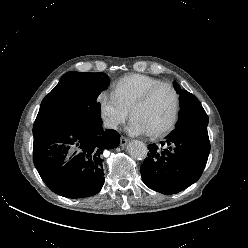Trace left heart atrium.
I'll use <instances>...</instances> for the list:
<instances>
[{
  "label": "left heart atrium",
  "mask_w": 248,
  "mask_h": 248,
  "mask_svg": "<svg viewBox=\"0 0 248 248\" xmlns=\"http://www.w3.org/2000/svg\"><path fill=\"white\" fill-rule=\"evenodd\" d=\"M128 131L133 135L146 134V131L142 128V126L134 120L130 123Z\"/></svg>",
  "instance_id": "1"
}]
</instances>
